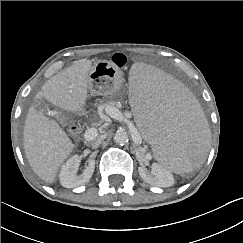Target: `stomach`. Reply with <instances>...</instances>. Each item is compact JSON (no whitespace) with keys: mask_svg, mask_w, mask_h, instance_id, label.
Segmentation results:
<instances>
[{"mask_svg":"<svg viewBox=\"0 0 243 243\" xmlns=\"http://www.w3.org/2000/svg\"><path fill=\"white\" fill-rule=\"evenodd\" d=\"M123 84L122 72L112 62L100 60L89 73L88 89L96 95L113 96Z\"/></svg>","mask_w":243,"mask_h":243,"instance_id":"obj_1","label":"stomach"}]
</instances>
